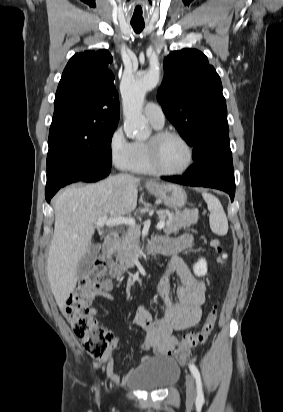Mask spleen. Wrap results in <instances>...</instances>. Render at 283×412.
Wrapping results in <instances>:
<instances>
[{"label":"spleen","instance_id":"3e777b00","mask_svg":"<svg viewBox=\"0 0 283 412\" xmlns=\"http://www.w3.org/2000/svg\"><path fill=\"white\" fill-rule=\"evenodd\" d=\"M202 196L210 211L209 223L211 230L217 235H226L228 220L219 199L208 193H202Z\"/></svg>","mask_w":283,"mask_h":412}]
</instances>
